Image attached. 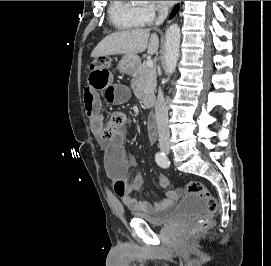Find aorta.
I'll return each instance as SVG.
<instances>
[{"label": "aorta", "instance_id": "obj_1", "mask_svg": "<svg viewBox=\"0 0 271 266\" xmlns=\"http://www.w3.org/2000/svg\"><path fill=\"white\" fill-rule=\"evenodd\" d=\"M180 39L181 33L178 24L170 25L165 34V68L169 75L175 72L177 66L180 52Z\"/></svg>", "mask_w": 271, "mask_h": 266}]
</instances>
